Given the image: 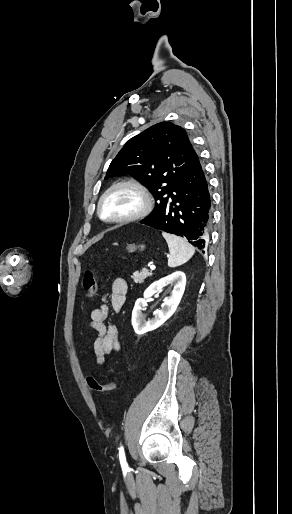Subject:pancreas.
Masks as SVG:
<instances>
[{"label": "pancreas", "instance_id": "cf45deb5", "mask_svg": "<svg viewBox=\"0 0 292 514\" xmlns=\"http://www.w3.org/2000/svg\"><path fill=\"white\" fill-rule=\"evenodd\" d=\"M148 276H152V272H149V270H146V268H143V270H141V272H134L133 276H131V278H133L134 282H136V284H143L145 278H148Z\"/></svg>", "mask_w": 292, "mask_h": 514}]
</instances>
